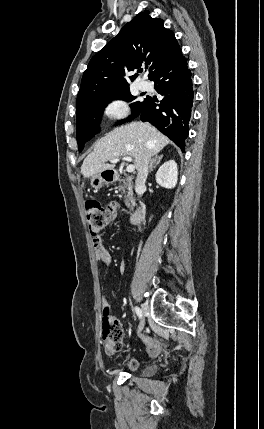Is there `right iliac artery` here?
I'll return each mask as SVG.
<instances>
[{"instance_id": "obj_1", "label": "right iliac artery", "mask_w": 264, "mask_h": 429, "mask_svg": "<svg viewBox=\"0 0 264 429\" xmlns=\"http://www.w3.org/2000/svg\"><path fill=\"white\" fill-rule=\"evenodd\" d=\"M134 310H135V312H136L137 316H138L139 318H142V317L140 316V315L142 314L141 309H140L139 307H135V308H134Z\"/></svg>"}]
</instances>
